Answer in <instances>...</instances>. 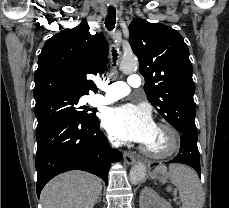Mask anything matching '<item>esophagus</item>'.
<instances>
[{
  "label": "esophagus",
  "instance_id": "34e87169",
  "mask_svg": "<svg viewBox=\"0 0 229 208\" xmlns=\"http://www.w3.org/2000/svg\"><path fill=\"white\" fill-rule=\"evenodd\" d=\"M124 160L128 165H133L136 162L137 158L131 153H124Z\"/></svg>",
  "mask_w": 229,
  "mask_h": 208
}]
</instances>
